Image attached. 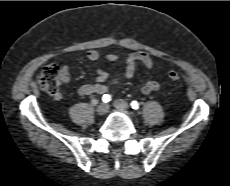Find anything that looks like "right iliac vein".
I'll return each instance as SVG.
<instances>
[{
    "mask_svg": "<svg viewBox=\"0 0 230 186\" xmlns=\"http://www.w3.org/2000/svg\"><path fill=\"white\" fill-rule=\"evenodd\" d=\"M108 105L106 103H101L98 105L96 112L98 115H104L108 112Z\"/></svg>",
    "mask_w": 230,
    "mask_h": 186,
    "instance_id": "63e3f726",
    "label": "right iliac vein"
}]
</instances>
